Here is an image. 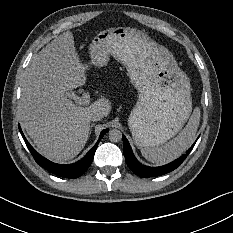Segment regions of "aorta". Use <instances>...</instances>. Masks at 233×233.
<instances>
[{"instance_id":"762f6f07","label":"aorta","mask_w":233,"mask_h":233,"mask_svg":"<svg viewBox=\"0 0 233 233\" xmlns=\"http://www.w3.org/2000/svg\"><path fill=\"white\" fill-rule=\"evenodd\" d=\"M122 138V133L118 129H112L109 131V139L113 142H118Z\"/></svg>"}]
</instances>
